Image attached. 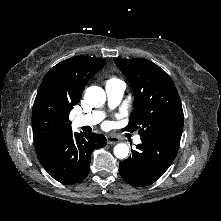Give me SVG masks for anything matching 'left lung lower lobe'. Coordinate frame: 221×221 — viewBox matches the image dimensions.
<instances>
[{"instance_id":"obj_1","label":"left lung lower lobe","mask_w":221,"mask_h":221,"mask_svg":"<svg viewBox=\"0 0 221 221\" xmlns=\"http://www.w3.org/2000/svg\"><path fill=\"white\" fill-rule=\"evenodd\" d=\"M132 156L120 162L119 173L130 185L142 187L155 182L169 168L179 146L141 137Z\"/></svg>"}]
</instances>
